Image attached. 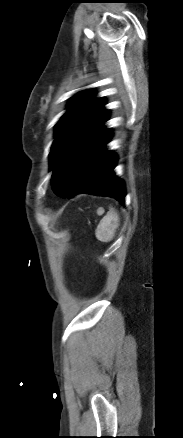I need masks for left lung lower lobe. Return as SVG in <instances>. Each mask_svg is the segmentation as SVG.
I'll use <instances>...</instances> for the list:
<instances>
[{
	"instance_id": "obj_1",
	"label": "left lung lower lobe",
	"mask_w": 183,
	"mask_h": 438,
	"mask_svg": "<svg viewBox=\"0 0 183 438\" xmlns=\"http://www.w3.org/2000/svg\"><path fill=\"white\" fill-rule=\"evenodd\" d=\"M111 136V130L101 126L61 158L51 179L58 196L72 198L79 193H89L113 197L124 204V183L113 171L117 156L105 149Z\"/></svg>"
}]
</instances>
